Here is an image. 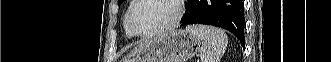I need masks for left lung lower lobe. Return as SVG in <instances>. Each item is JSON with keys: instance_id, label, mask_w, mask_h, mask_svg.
I'll return each instance as SVG.
<instances>
[{"instance_id": "1", "label": "left lung lower lobe", "mask_w": 331, "mask_h": 62, "mask_svg": "<svg viewBox=\"0 0 331 62\" xmlns=\"http://www.w3.org/2000/svg\"><path fill=\"white\" fill-rule=\"evenodd\" d=\"M186 7L188 13L181 19V26L207 24L225 28L245 46L242 0H188Z\"/></svg>"}]
</instances>
